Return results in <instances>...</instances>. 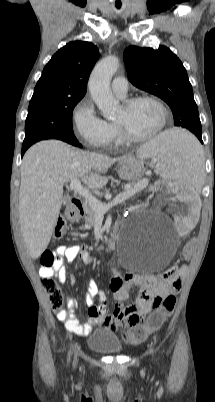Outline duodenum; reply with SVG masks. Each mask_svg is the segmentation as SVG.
<instances>
[{
    "label": "duodenum",
    "instance_id": "1",
    "mask_svg": "<svg viewBox=\"0 0 215 402\" xmlns=\"http://www.w3.org/2000/svg\"><path fill=\"white\" fill-rule=\"evenodd\" d=\"M84 214V204L79 198H74L72 199L70 205L67 208V217L71 221H77L79 220ZM116 241V234L114 233L109 241L105 244H103L100 247V251L102 253L110 251Z\"/></svg>",
    "mask_w": 215,
    "mask_h": 402
}]
</instances>
